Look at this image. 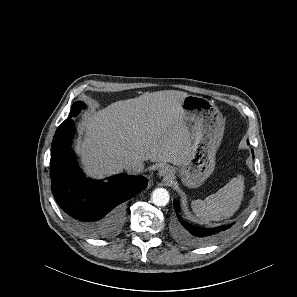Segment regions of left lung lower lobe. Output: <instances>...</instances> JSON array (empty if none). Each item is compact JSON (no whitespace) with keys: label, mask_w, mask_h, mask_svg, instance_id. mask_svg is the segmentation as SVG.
Listing matches in <instances>:
<instances>
[{"label":"left lung lower lobe","mask_w":297,"mask_h":297,"mask_svg":"<svg viewBox=\"0 0 297 297\" xmlns=\"http://www.w3.org/2000/svg\"><path fill=\"white\" fill-rule=\"evenodd\" d=\"M253 153V150H252ZM179 223L174 229L175 237L182 243L187 245H205L217 240L221 235L227 232L233 224L220 226L216 228H204L191 225L183 220L179 215L178 202L174 201Z\"/></svg>","instance_id":"left-lung-lower-lobe-1"}]
</instances>
